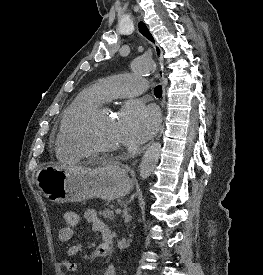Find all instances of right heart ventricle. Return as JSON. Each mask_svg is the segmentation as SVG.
<instances>
[{"label": "right heart ventricle", "instance_id": "1", "mask_svg": "<svg viewBox=\"0 0 263 275\" xmlns=\"http://www.w3.org/2000/svg\"><path fill=\"white\" fill-rule=\"evenodd\" d=\"M105 101L98 85L83 90L67 107L58 135L57 149L61 156L70 159H78L83 154L78 151L67 139V133L76 120L88 110L102 104Z\"/></svg>", "mask_w": 263, "mask_h": 275}]
</instances>
